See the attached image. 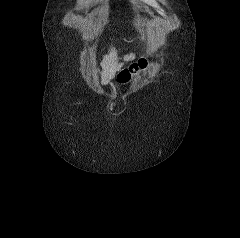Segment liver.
<instances>
[{
  "label": "liver",
  "instance_id": "6515ba94",
  "mask_svg": "<svg viewBox=\"0 0 240 238\" xmlns=\"http://www.w3.org/2000/svg\"><path fill=\"white\" fill-rule=\"evenodd\" d=\"M124 61H130L135 59L134 54L124 56ZM117 51L115 48H110L109 53L103 57L101 62V83L103 85L108 84L114 77L117 71H120L123 66L122 63L118 62Z\"/></svg>",
  "mask_w": 240,
  "mask_h": 238
}]
</instances>
